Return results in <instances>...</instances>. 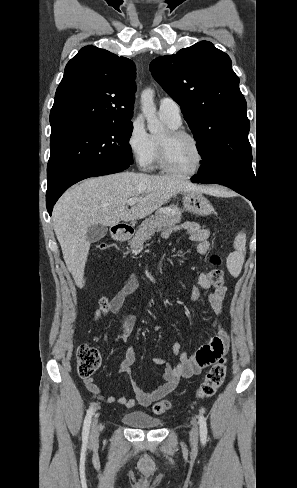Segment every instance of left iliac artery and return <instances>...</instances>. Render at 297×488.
I'll use <instances>...</instances> for the list:
<instances>
[{"label":"left iliac artery","mask_w":297,"mask_h":488,"mask_svg":"<svg viewBox=\"0 0 297 488\" xmlns=\"http://www.w3.org/2000/svg\"><path fill=\"white\" fill-rule=\"evenodd\" d=\"M199 424H200V440L203 445L207 442V425H206V418L200 414L199 415Z\"/></svg>","instance_id":"obj_1"}]
</instances>
